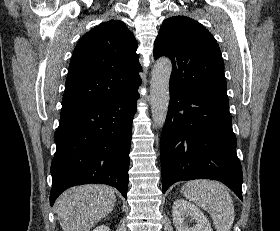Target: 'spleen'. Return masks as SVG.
<instances>
[{"instance_id": "obj_1", "label": "spleen", "mask_w": 280, "mask_h": 231, "mask_svg": "<svg viewBox=\"0 0 280 231\" xmlns=\"http://www.w3.org/2000/svg\"><path fill=\"white\" fill-rule=\"evenodd\" d=\"M181 193L210 213L216 231H230L234 221V203L223 183L210 179H193L184 183Z\"/></svg>"}]
</instances>
